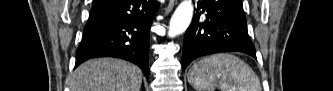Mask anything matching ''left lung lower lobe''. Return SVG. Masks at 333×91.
<instances>
[{
	"label": "left lung lower lobe",
	"mask_w": 333,
	"mask_h": 91,
	"mask_svg": "<svg viewBox=\"0 0 333 91\" xmlns=\"http://www.w3.org/2000/svg\"><path fill=\"white\" fill-rule=\"evenodd\" d=\"M238 51L256 57L241 0H202L184 36L183 70L196 58Z\"/></svg>",
	"instance_id": "0a47b994"
}]
</instances>
